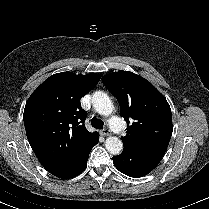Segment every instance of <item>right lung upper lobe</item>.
<instances>
[{"label": "right lung upper lobe", "instance_id": "right-lung-upper-lobe-1", "mask_svg": "<svg viewBox=\"0 0 209 209\" xmlns=\"http://www.w3.org/2000/svg\"><path fill=\"white\" fill-rule=\"evenodd\" d=\"M100 74L61 72L47 78L24 109L28 141L44 168L55 176L66 171L98 135L86 130L80 99L99 82Z\"/></svg>", "mask_w": 209, "mask_h": 209}]
</instances>
